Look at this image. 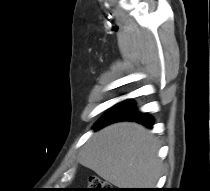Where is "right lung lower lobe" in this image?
I'll return each mask as SVG.
<instances>
[{
	"mask_svg": "<svg viewBox=\"0 0 210 191\" xmlns=\"http://www.w3.org/2000/svg\"><path fill=\"white\" fill-rule=\"evenodd\" d=\"M135 121L147 127H152L154 119L137 110L132 99L124 100L114 105L97 123L95 129H100L110 123L118 121Z\"/></svg>",
	"mask_w": 210,
	"mask_h": 191,
	"instance_id": "98d812e1",
	"label": "right lung lower lobe"
}]
</instances>
